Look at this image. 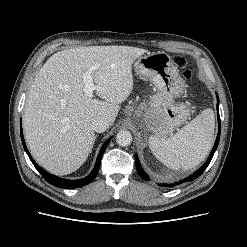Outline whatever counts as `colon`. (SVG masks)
<instances>
[{
	"instance_id": "colon-1",
	"label": "colon",
	"mask_w": 247,
	"mask_h": 247,
	"mask_svg": "<svg viewBox=\"0 0 247 247\" xmlns=\"http://www.w3.org/2000/svg\"><path fill=\"white\" fill-rule=\"evenodd\" d=\"M178 65L183 70V75L186 79L191 78L192 70L187 66V63L184 59H178Z\"/></svg>"
}]
</instances>
